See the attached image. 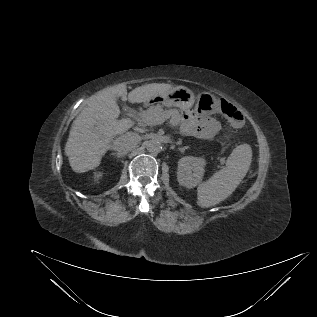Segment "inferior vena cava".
<instances>
[{"label":"inferior vena cava","instance_id":"obj_1","mask_svg":"<svg viewBox=\"0 0 317 317\" xmlns=\"http://www.w3.org/2000/svg\"><path fill=\"white\" fill-rule=\"evenodd\" d=\"M139 143V136L136 133L127 132L113 141L112 148L119 155H126Z\"/></svg>","mask_w":317,"mask_h":317}]
</instances>
